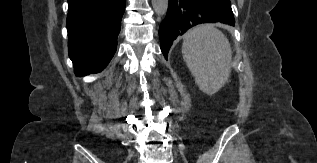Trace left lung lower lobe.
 I'll use <instances>...</instances> for the list:
<instances>
[{
	"label": "left lung lower lobe",
	"mask_w": 317,
	"mask_h": 163,
	"mask_svg": "<svg viewBox=\"0 0 317 163\" xmlns=\"http://www.w3.org/2000/svg\"><path fill=\"white\" fill-rule=\"evenodd\" d=\"M215 22L234 26L230 0H169L166 18L159 28L161 50L165 58L172 41L189 28Z\"/></svg>",
	"instance_id": "obj_1"
}]
</instances>
